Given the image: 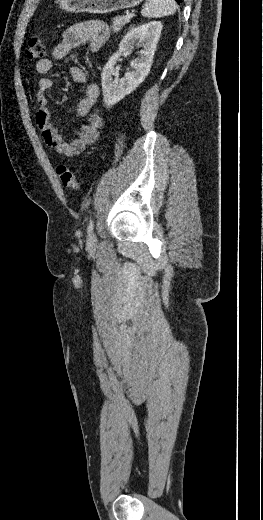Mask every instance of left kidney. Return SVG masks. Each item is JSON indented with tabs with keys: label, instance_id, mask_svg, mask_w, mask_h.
<instances>
[{
	"label": "left kidney",
	"instance_id": "left-kidney-1",
	"mask_svg": "<svg viewBox=\"0 0 263 520\" xmlns=\"http://www.w3.org/2000/svg\"><path fill=\"white\" fill-rule=\"evenodd\" d=\"M162 31V24L153 21L131 29L121 40L119 49L114 53L103 68L102 88L103 100L110 107L135 90L148 75L153 57ZM133 46H140L139 57L131 62L132 71L118 78L115 64L122 53L130 51Z\"/></svg>",
	"mask_w": 263,
	"mask_h": 520
}]
</instances>
